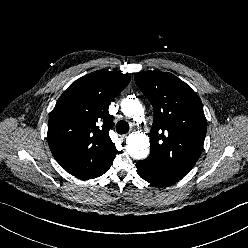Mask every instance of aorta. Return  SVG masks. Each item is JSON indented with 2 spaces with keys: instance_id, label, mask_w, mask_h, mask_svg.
Returning <instances> with one entry per match:
<instances>
[{
  "instance_id": "aorta-1",
  "label": "aorta",
  "mask_w": 248,
  "mask_h": 248,
  "mask_svg": "<svg viewBox=\"0 0 248 248\" xmlns=\"http://www.w3.org/2000/svg\"><path fill=\"white\" fill-rule=\"evenodd\" d=\"M121 110L127 117L137 122L144 119V108L137 99L126 98L121 102ZM128 154L137 159H144L148 156L149 138L144 133H131L126 139Z\"/></svg>"
}]
</instances>
